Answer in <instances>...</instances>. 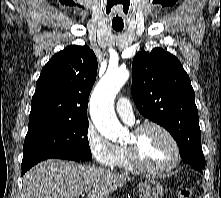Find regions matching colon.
Here are the masks:
<instances>
[{
    "label": "colon",
    "instance_id": "obj_1",
    "mask_svg": "<svg viewBox=\"0 0 221 198\" xmlns=\"http://www.w3.org/2000/svg\"><path fill=\"white\" fill-rule=\"evenodd\" d=\"M193 191L189 187H183L178 191L177 198H192Z\"/></svg>",
    "mask_w": 221,
    "mask_h": 198
}]
</instances>
